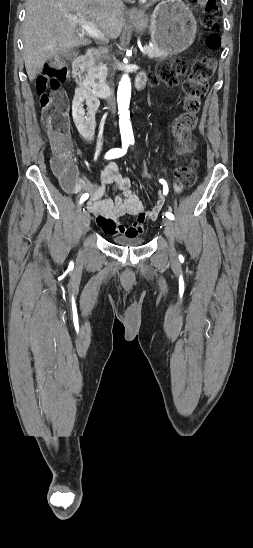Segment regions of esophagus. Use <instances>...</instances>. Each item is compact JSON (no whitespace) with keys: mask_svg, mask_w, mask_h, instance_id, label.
Returning <instances> with one entry per match:
<instances>
[{"mask_svg":"<svg viewBox=\"0 0 253 548\" xmlns=\"http://www.w3.org/2000/svg\"><path fill=\"white\" fill-rule=\"evenodd\" d=\"M129 15L131 17H138L139 13H138V10L135 9V8H132L130 11H129Z\"/></svg>","mask_w":253,"mask_h":548,"instance_id":"obj_1","label":"esophagus"}]
</instances>
